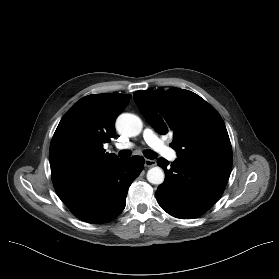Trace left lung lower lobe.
Instances as JSON below:
<instances>
[{
	"label": "left lung lower lobe",
	"instance_id": "1",
	"mask_svg": "<svg viewBox=\"0 0 279 279\" xmlns=\"http://www.w3.org/2000/svg\"><path fill=\"white\" fill-rule=\"evenodd\" d=\"M157 164L165 171V181L156 191L163 210L180 219L204 214L223 193L232 165L177 158L170 166L166 159Z\"/></svg>",
	"mask_w": 279,
	"mask_h": 279
}]
</instances>
